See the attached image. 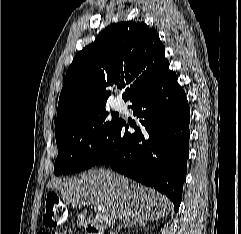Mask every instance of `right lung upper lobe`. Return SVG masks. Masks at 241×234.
<instances>
[{"mask_svg":"<svg viewBox=\"0 0 241 234\" xmlns=\"http://www.w3.org/2000/svg\"><path fill=\"white\" fill-rule=\"evenodd\" d=\"M169 62L157 31L144 22L109 25L69 66L59 97L56 131L74 125L105 106L106 87L126 82L128 100Z\"/></svg>","mask_w":241,"mask_h":234,"instance_id":"cb5924a9","label":"right lung upper lobe"}]
</instances>
